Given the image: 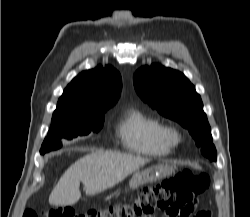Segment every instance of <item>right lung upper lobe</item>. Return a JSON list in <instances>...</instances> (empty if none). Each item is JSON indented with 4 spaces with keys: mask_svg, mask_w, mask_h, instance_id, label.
<instances>
[{
    "mask_svg": "<svg viewBox=\"0 0 250 217\" xmlns=\"http://www.w3.org/2000/svg\"><path fill=\"white\" fill-rule=\"evenodd\" d=\"M121 87V76L111 66L84 71L65 88L52 120L104 112L117 102Z\"/></svg>",
    "mask_w": 250,
    "mask_h": 217,
    "instance_id": "cb5924a9",
    "label": "right lung upper lobe"
}]
</instances>
